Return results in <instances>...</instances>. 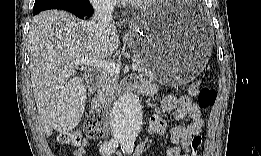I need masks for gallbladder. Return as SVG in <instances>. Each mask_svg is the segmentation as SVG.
Segmentation results:
<instances>
[{"label": "gallbladder", "instance_id": "gallbladder-1", "mask_svg": "<svg viewBox=\"0 0 261 156\" xmlns=\"http://www.w3.org/2000/svg\"><path fill=\"white\" fill-rule=\"evenodd\" d=\"M69 82L64 85L68 88H63L65 90H61L58 94L60 100L51 106L50 123L58 132H65L76 127L82 120L86 108L87 91L81 85L84 83L83 77L71 79Z\"/></svg>", "mask_w": 261, "mask_h": 156}]
</instances>
